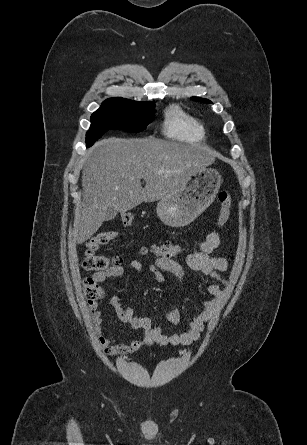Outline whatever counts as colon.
<instances>
[{
    "instance_id": "colon-1",
    "label": "colon",
    "mask_w": 307,
    "mask_h": 445,
    "mask_svg": "<svg viewBox=\"0 0 307 445\" xmlns=\"http://www.w3.org/2000/svg\"><path fill=\"white\" fill-rule=\"evenodd\" d=\"M219 200L221 203L220 210L218 212L216 222L219 226L224 225L231 212V199L229 193L223 190L219 194ZM122 221L125 225H130L133 221L131 214H125L122 216ZM117 237V233L114 231H103L94 236L86 248L82 266L88 271L104 272L113 266H118L120 260L116 257H108L103 254H98L97 250L109 244ZM145 253H152L159 258H171L180 252V247L173 242L165 241L159 244L152 245L149 248L144 249ZM84 292L88 299V302L92 305L95 304L99 298V290L92 278H87L84 282Z\"/></svg>"
}]
</instances>
